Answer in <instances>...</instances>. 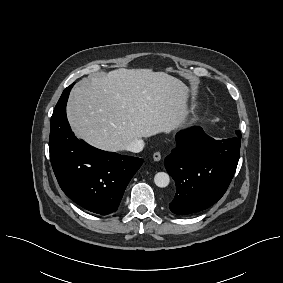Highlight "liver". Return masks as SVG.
<instances>
[{"mask_svg":"<svg viewBox=\"0 0 283 283\" xmlns=\"http://www.w3.org/2000/svg\"><path fill=\"white\" fill-rule=\"evenodd\" d=\"M188 88L151 69H118L80 81L67 117L74 133L102 150H126L132 141L169 133L188 115Z\"/></svg>","mask_w":283,"mask_h":283,"instance_id":"obj_1","label":"liver"}]
</instances>
